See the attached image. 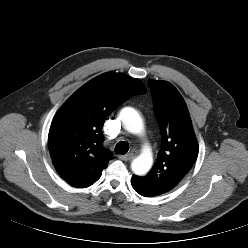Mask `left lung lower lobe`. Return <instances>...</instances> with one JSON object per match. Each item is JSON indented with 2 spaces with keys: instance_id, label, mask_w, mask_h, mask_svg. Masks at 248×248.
<instances>
[{
  "instance_id": "1",
  "label": "left lung lower lobe",
  "mask_w": 248,
  "mask_h": 248,
  "mask_svg": "<svg viewBox=\"0 0 248 248\" xmlns=\"http://www.w3.org/2000/svg\"><path fill=\"white\" fill-rule=\"evenodd\" d=\"M132 187L134 188V190H135L137 193H139V194L142 195V196H146V197L152 196V195H150L148 192H146L143 188H141V187H139V186H137V185L132 184Z\"/></svg>"
}]
</instances>
